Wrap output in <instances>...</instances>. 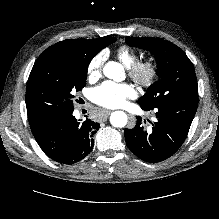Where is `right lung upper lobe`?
Masks as SVG:
<instances>
[{
	"mask_svg": "<svg viewBox=\"0 0 219 219\" xmlns=\"http://www.w3.org/2000/svg\"><path fill=\"white\" fill-rule=\"evenodd\" d=\"M116 39L111 36L100 37L97 39L87 40V39H70L62 42H58L51 46L53 48H60L66 51H76L81 50L85 52L88 56H95L106 46L115 42Z\"/></svg>",
	"mask_w": 219,
	"mask_h": 219,
	"instance_id": "cb5924a9",
	"label": "right lung upper lobe"
}]
</instances>
